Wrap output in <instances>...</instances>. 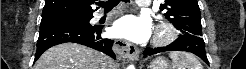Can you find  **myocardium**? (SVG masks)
I'll return each mask as SVG.
<instances>
[{
    "label": "myocardium",
    "instance_id": "f54148a6",
    "mask_svg": "<svg viewBox=\"0 0 246 69\" xmlns=\"http://www.w3.org/2000/svg\"><path fill=\"white\" fill-rule=\"evenodd\" d=\"M176 37V29L169 21H162L158 24L154 36V44L157 46L166 45Z\"/></svg>",
    "mask_w": 246,
    "mask_h": 69
}]
</instances>
